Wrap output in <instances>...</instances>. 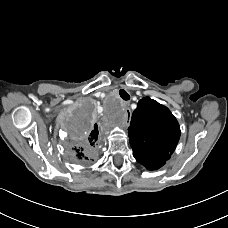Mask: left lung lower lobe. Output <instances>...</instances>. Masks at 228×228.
<instances>
[{
  "instance_id": "left-lung-lower-lobe-1",
  "label": "left lung lower lobe",
  "mask_w": 228,
  "mask_h": 228,
  "mask_svg": "<svg viewBox=\"0 0 228 228\" xmlns=\"http://www.w3.org/2000/svg\"><path fill=\"white\" fill-rule=\"evenodd\" d=\"M164 164H165V163L157 162L156 165H155V167H154V169H152V170L158 169V168H160L161 166H163Z\"/></svg>"
}]
</instances>
